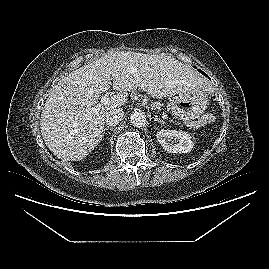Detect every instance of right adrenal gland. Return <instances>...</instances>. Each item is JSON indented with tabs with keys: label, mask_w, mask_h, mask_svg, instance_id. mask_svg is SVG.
I'll list each match as a JSON object with an SVG mask.
<instances>
[{
	"label": "right adrenal gland",
	"mask_w": 269,
	"mask_h": 269,
	"mask_svg": "<svg viewBox=\"0 0 269 269\" xmlns=\"http://www.w3.org/2000/svg\"><path fill=\"white\" fill-rule=\"evenodd\" d=\"M112 130H113V128L112 127H109V126L106 127V128H104L103 129V133H102V137L104 136V134H105L106 131H112Z\"/></svg>",
	"instance_id": "1"
}]
</instances>
